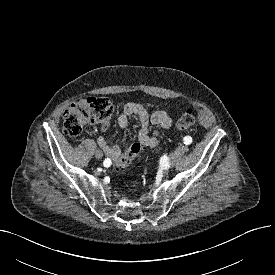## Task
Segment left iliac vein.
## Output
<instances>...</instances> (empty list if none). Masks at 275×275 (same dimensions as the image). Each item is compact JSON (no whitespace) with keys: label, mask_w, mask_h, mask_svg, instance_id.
<instances>
[{"label":"left iliac vein","mask_w":275,"mask_h":275,"mask_svg":"<svg viewBox=\"0 0 275 275\" xmlns=\"http://www.w3.org/2000/svg\"><path fill=\"white\" fill-rule=\"evenodd\" d=\"M173 157H174V154L172 153L171 155H170V160L164 165V169L165 170H168V169H170V168H172L173 167Z\"/></svg>","instance_id":"left-iliac-vein-1"}]
</instances>
